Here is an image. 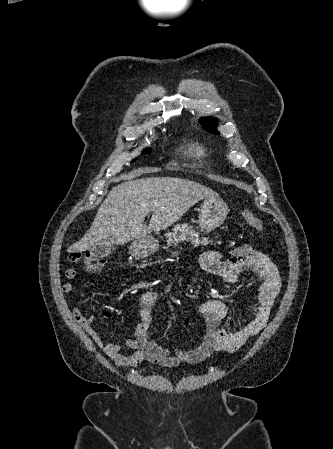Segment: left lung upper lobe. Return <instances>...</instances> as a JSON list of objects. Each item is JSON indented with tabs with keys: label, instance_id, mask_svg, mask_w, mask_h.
Listing matches in <instances>:
<instances>
[{
	"label": "left lung upper lobe",
	"instance_id": "left-lung-upper-lobe-1",
	"mask_svg": "<svg viewBox=\"0 0 333 449\" xmlns=\"http://www.w3.org/2000/svg\"><path fill=\"white\" fill-rule=\"evenodd\" d=\"M201 124L204 128H206L207 130L213 132V133H217L216 131V124H217V120L211 119V118H203L201 119Z\"/></svg>",
	"mask_w": 333,
	"mask_h": 449
}]
</instances>
